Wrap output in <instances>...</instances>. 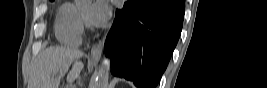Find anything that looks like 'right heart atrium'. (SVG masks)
Here are the masks:
<instances>
[{
  "instance_id": "obj_1",
  "label": "right heart atrium",
  "mask_w": 267,
  "mask_h": 88,
  "mask_svg": "<svg viewBox=\"0 0 267 88\" xmlns=\"http://www.w3.org/2000/svg\"><path fill=\"white\" fill-rule=\"evenodd\" d=\"M79 26H80V31H81V33H82V31H83V27H82L81 21L79 22Z\"/></svg>"
}]
</instances>
